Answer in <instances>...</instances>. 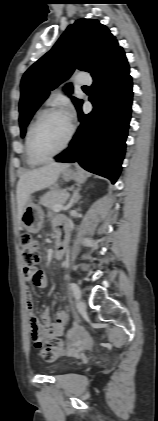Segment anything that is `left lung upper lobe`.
<instances>
[{"instance_id": "obj_1", "label": "left lung upper lobe", "mask_w": 158, "mask_h": 421, "mask_svg": "<svg viewBox=\"0 0 158 421\" xmlns=\"http://www.w3.org/2000/svg\"><path fill=\"white\" fill-rule=\"evenodd\" d=\"M119 45L110 30L98 20L79 19L68 26L53 48L35 62L21 81L19 103L21 136L49 91L69 78L75 68L95 74ZM69 92L72 88L69 87ZM77 110L82 100L72 98Z\"/></svg>"}]
</instances>
